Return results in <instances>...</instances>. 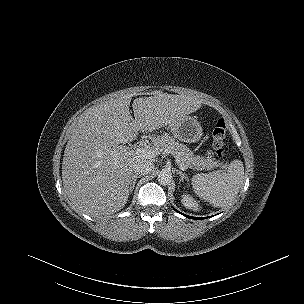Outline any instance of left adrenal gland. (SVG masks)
<instances>
[{
  "mask_svg": "<svg viewBox=\"0 0 304 304\" xmlns=\"http://www.w3.org/2000/svg\"><path fill=\"white\" fill-rule=\"evenodd\" d=\"M176 174L180 176V182H183L184 180L187 182L189 181L187 174L183 173L182 171L176 170Z\"/></svg>",
  "mask_w": 304,
  "mask_h": 304,
  "instance_id": "1",
  "label": "left adrenal gland"
}]
</instances>
